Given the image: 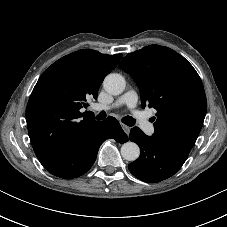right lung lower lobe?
Wrapping results in <instances>:
<instances>
[{
    "label": "right lung lower lobe",
    "instance_id": "right-lung-lower-lobe-1",
    "mask_svg": "<svg viewBox=\"0 0 227 227\" xmlns=\"http://www.w3.org/2000/svg\"><path fill=\"white\" fill-rule=\"evenodd\" d=\"M118 134L126 136L115 118L108 117L105 121H99L86 136L74 144L55 164L46 169L51 174L64 179L81 176L95 162L100 145L107 138L116 139Z\"/></svg>",
    "mask_w": 227,
    "mask_h": 227
}]
</instances>
